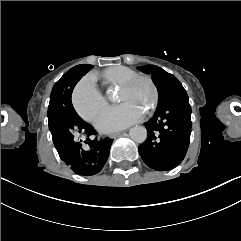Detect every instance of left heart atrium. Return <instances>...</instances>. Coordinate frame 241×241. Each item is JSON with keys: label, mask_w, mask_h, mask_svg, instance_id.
I'll return each instance as SVG.
<instances>
[{"label": "left heart atrium", "mask_w": 241, "mask_h": 241, "mask_svg": "<svg viewBox=\"0 0 241 241\" xmlns=\"http://www.w3.org/2000/svg\"><path fill=\"white\" fill-rule=\"evenodd\" d=\"M142 114L137 110H129L125 107H114L104 111L96 120V127L104 132L111 133L127 128L139 122Z\"/></svg>", "instance_id": "39dd6f15"}]
</instances>
